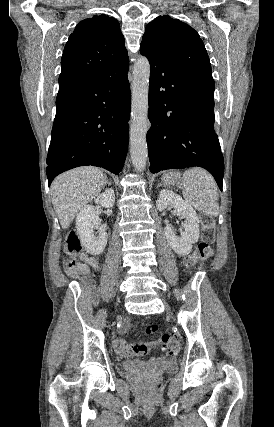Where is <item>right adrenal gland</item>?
Here are the masks:
<instances>
[{
    "label": "right adrenal gland",
    "mask_w": 274,
    "mask_h": 427,
    "mask_svg": "<svg viewBox=\"0 0 274 427\" xmlns=\"http://www.w3.org/2000/svg\"><path fill=\"white\" fill-rule=\"evenodd\" d=\"M107 184H109V186H111V182H108V180H106Z\"/></svg>",
    "instance_id": "2a0ac1e0"
}]
</instances>
